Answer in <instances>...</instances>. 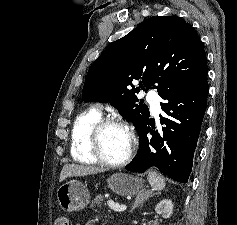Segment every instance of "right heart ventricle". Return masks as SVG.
I'll list each match as a JSON object with an SVG mask.
<instances>
[{
    "instance_id": "obj_1",
    "label": "right heart ventricle",
    "mask_w": 237,
    "mask_h": 225,
    "mask_svg": "<svg viewBox=\"0 0 237 225\" xmlns=\"http://www.w3.org/2000/svg\"><path fill=\"white\" fill-rule=\"evenodd\" d=\"M101 118L97 108H88L74 120L71 131L70 152L72 158L80 163L94 164L97 162L89 146V132L92 126Z\"/></svg>"
}]
</instances>
